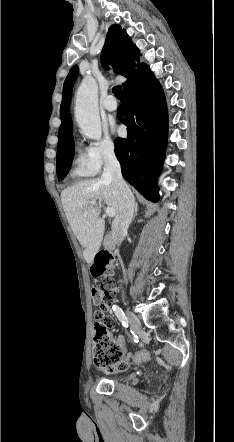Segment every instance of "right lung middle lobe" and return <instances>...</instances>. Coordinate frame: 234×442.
I'll list each match as a JSON object with an SVG mask.
<instances>
[{"mask_svg":"<svg viewBox=\"0 0 234 442\" xmlns=\"http://www.w3.org/2000/svg\"><path fill=\"white\" fill-rule=\"evenodd\" d=\"M73 136L62 146L57 147V176L62 180L70 170V162L74 157Z\"/></svg>","mask_w":234,"mask_h":442,"instance_id":"dd1d6c3e","label":"right lung middle lobe"}]
</instances>
